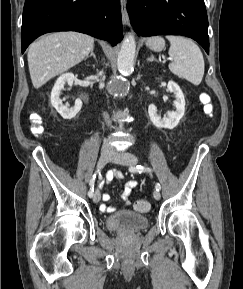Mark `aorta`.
Returning a JSON list of instances; mask_svg holds the SVG:
<instances>
[{"mask_svg":"<svg viewBox=\"0 0 243 289\" xmlns=\"http://www.w3.org/2000/svg\"><path fill=\"white\" fill-rule=\"evenodd\" d=\"M135 51V38L129 34L124 38L117 57V68L122 75L126 76L133 72Z\"/></svg>","mask_w":243,"mask_h":289,"instance_id":"aorta-1","label":"aorta"}]
</instances>
